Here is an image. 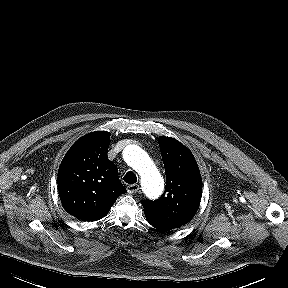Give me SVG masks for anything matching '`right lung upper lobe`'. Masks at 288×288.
Segmentation results:
<instances>
[{
	"label": "right lung upper lobe",
	"instance_id": "right-lung-upper-lobe-1",
	"mask_svg": "<svg viewBox=\"0 0 288 288\" xmlns=\"http://www.w3.org/2000/svg\"><path fill=\"white\" fill-rule=\"evenodd\" d=\"M110 133L81 137L66 153L58 171V190L64 209L84 221L103 218L126 193L116 165L107 158Z\"/></svg>",
	"mask_w": 288,
	"mask_h": 288
}]
</instances>
